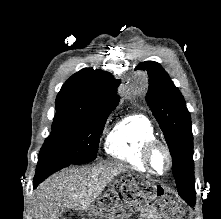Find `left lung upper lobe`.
<instances>
[{"label":"left lung upper lobe","mask_w":221,"mask_h":219,"mask_svg":"<svg viewBox=\"0 0 221 219\" xmlns=\"http://www.w3.org/2000/svg\"><path fill=\"white\" fill-rule=\"evenodd\" d=\"M147 68L148 106L157 119L172 156L173 176L178 193L189 205L195 204L193 135L185 100L160 64L152 61L135 68Z\"/></svg>","instance_id":"5c2ea615"}]
</instances>
